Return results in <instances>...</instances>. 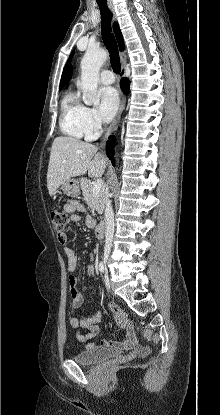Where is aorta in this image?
Instances as JSON below:
<instances>
[{
  "instance_id": "1",
  "label": "aorta",
  "mask_w": 220,
  "mask_h": 415,
  "mask_svg": "<svg viewBox=\"0 0 220 415\" xmlns=\"http://www.w3.org/2000/svg\"><path fill=\"white\" fill-rule=\"evenodd\" d=\"M107 60V52L102 49H88L81 61V89L86 105H98L100 97L97 94L99 71Z\"/></svg>"
}]
</instances>
